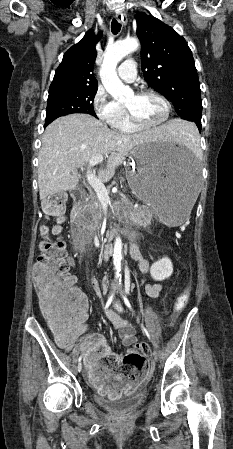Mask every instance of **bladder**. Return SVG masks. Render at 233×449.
Here are the masks:
<instances>
[{"instance_id":"1","label":"bladder","mask_w":233,"mask_h":449,"mask_svg":"<svg viewBox=\"0 0 233 449\" xmlns=\"http://www.w3.org/2000/svg\"><path fill=\"white\" fill-rule=\"evenodd\" d=\"M146 393L139 392L134 395L125 396L120 399L110 400L95 394L94 398L98 405L114 412L129 411L139 406L145 399Z\"/></svg>"}]
</instances>
